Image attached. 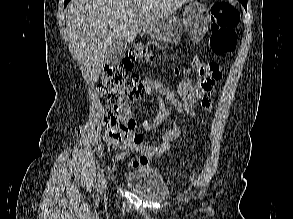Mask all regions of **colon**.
Instances as JSON below:
<instances>
[{"label": "colon", "instance_id": "1", "mask_svg": "<svg viewBox=\"0 0 293 219\" xmlns=\"http://www.w3.org/2000/svg\"><path fill=\"white\" fill-rule=\"evenodd\" d=\"M240 22V12L227 2H218L211 7V36L210 47L213 53L221 56L232 52L237 43L236 28ZM155 56L145 47L135 45L130 49L126 58L117 65L104 68L97 89L109 103L104 115V123L109 131L124 129L130 118L132 105L143 95V84L137 74L131 72L135 62L153 61ZM194 65L207 80L205 89L222 76V69L218 62L210 61L202 64L193 58ZM178 73V69H175Z\"/></svg>", "mask_w": 293, "mask_h": 219}]
</instances>
